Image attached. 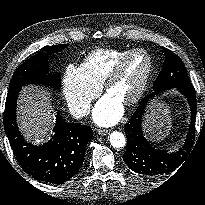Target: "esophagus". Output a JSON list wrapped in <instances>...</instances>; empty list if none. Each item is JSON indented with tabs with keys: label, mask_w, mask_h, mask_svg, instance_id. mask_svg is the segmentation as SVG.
<instances>
[{
	"label": "esophagus",
	"mask_w": 205,
	"mask_h": 205,
	"mask_svg": "<svg viewBox=\"0 0 205 205\" xmlns=\"http://www.w3.org/2000/svg\"><path fill=\"white\" fill-rule=\"evenodd\" d=\"M98 133H99L100 135L104 136V135L109 134L110 131H109V130H104V129H99V130H98Z\"/></svg>",
	"instance_id": "1"
}]
</instances>
